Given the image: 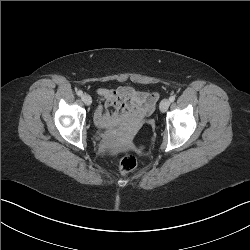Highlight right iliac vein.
Returning a JSON list of instances; mask_svg holds the SVG:
<instances>
[{
  "label": "right iliac vein",
  "mask_w": 250,
  "mask_h": 250,
  "mask_svg": "<svg viewBox=\"0 0 250 250\" xmlns=\"http://www.w3.org/2000/svg\"><path fill=\"white\" fill-rule=\"evenodd\" d=\"M81 98H82V101H83L86 105H91V103H92V98H91L90 95L84 94V95H82Z\"/></svg>",
  "instance_id": "1"
}]
</instances>
